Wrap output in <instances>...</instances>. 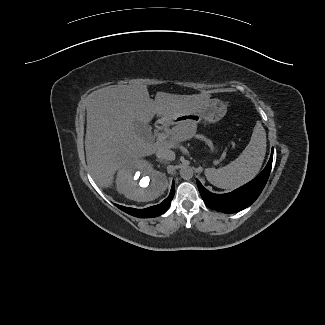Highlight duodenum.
<instances>
[{"mask_svg": "<svg viewBox=\"0 0 325 325\" xmlns=\"http://www.w3.org/2000/svg\"><path fill=\"white\" fill-rule=\"evenodd\" d=\"M164 128V124H163V122H157L156 124H155V129L156 130H161V129H163Z\"/></svg>", "mask_w": 325, "mask_h": 325, "instance_id": "410a0bca", "label": "duodenum"}]
</instances>
